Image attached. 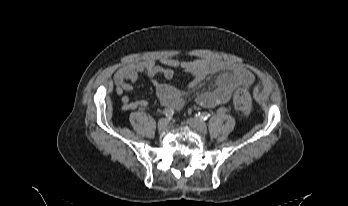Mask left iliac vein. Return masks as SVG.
I'll use <instances>...</instances> for the list:
<instances>
[{"instance_id": "1", "label": "left iliac vein", "mask_w": 348, "mask_h": 206, "mask_svg": "<svg viewBox=\"0 0 348 206\" xmlns=\"http://www.w3.org/2000/svg\"><path fill=\"white\" fill-rule=\"evenodd\" d=\"M186 123L193 129L205 133L207 131V125L202 120L197 118H190L186 121Z\"/></svg>"}]
</instances>
